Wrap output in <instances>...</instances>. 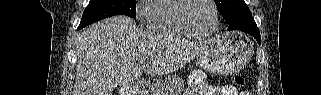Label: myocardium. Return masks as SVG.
Listing matches in <instances>:
<instances>
[{
    "label": "myocardium",
    "instance_id": "obj_1",
    "mask_svg": "<svg viewBox=\"0 0 321 95\" xmlns=\"http://www.w3.org/2000/svg\"><path fill=\"white\" fill-rule=\"evenodd\" d=\"M195 0H182L181 4L178 6L176 10V20L184 27L186 28L191 34L199 37H208L213 35L218 27H219V12L217 5L214 0H208L209 3L213 7L214 12V27L209 32H200L198 31L188 20L187 18V10L192 2Z\"/></svg>",
    "mask_w": 321,
    "mask_h": 95
}]
</instances>
